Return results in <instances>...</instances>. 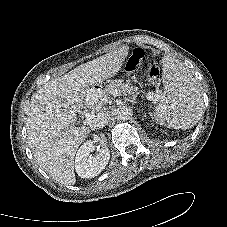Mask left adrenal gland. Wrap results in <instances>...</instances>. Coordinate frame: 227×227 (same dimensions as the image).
<instances>
[{
	"mask_svg": "<svg viewBox=\"0 0 227 227\" xmlns=\"http://www.w3.org/2000/svg\"><path fill=\"white\" fill-rule=\"evenodd\" d=\"M136 97H137V96L129 97V98H127V101H130V102H132V103H136V102H135Z\"/></svg>",
	"mask_w": 227,
	"mask_h": 227,
	"instance_id": "a2214340",
	"label": "left adrenal gland"
}]
</instances>
